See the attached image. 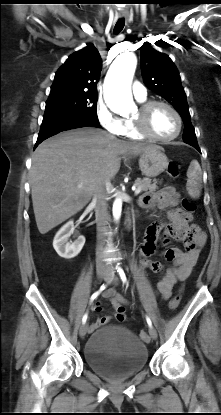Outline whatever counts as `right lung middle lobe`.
<instances>
[{"mask_svg":"<svg viewBox=\"0 0 221 415\" xmlns=\"http://www.w3.org/2000/svg\"><path fill=\"white\" fill-rule=\"evenodd\" d=\"M97 99V92L62 91L50 93L45 112L76 113L98 120Z\"/></svg>","mask_w":221,"mask_h":415,"instance_id":"obj_1","label":"right lung middle lobe"}]
</instances>
